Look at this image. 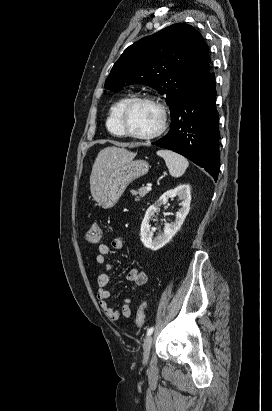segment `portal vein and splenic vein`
I'll use <instances>...</instances> for the list:
<instances>
[{
	"label": "portal vein and splenic vein",
	"instance_id": "18ae733b",
	"mask_svg": "<svg viewBox=\"0 0 272 411\" xmlns=\"http://www.w3.org/2000/svg\"><path fill=\"white\" fill-rule=\"evenodd\" d=\"M146 189H147V191H150V190L152 189V188H151V185L148 184L147 187H146Z\"/></svg>",
	"mask_w": 272,
	"mask_h": 411
}]
</instances>
